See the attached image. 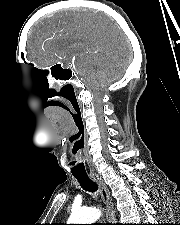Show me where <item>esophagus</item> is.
Segmentation results:
<instances>
[{"mask_svg": "<svg viewBox=\"0 0 180 225\" xmlns=\"http://www.w3.org/2000/svg\"><path fill=\"white\" fill-rule=\"evenodd\" d=\"M91 179L94 182H96L100 187L103 201L107 207V220L110 223H114L116 220V216H115L114 204H113L112 197L108 187L104 183L103 179L99 177L98 175H91Z\"/></svg>", "mask_w": 180, "mask_h": 225, "instance_id": "obj_1", "label": "esophagus"}]
</instances>
